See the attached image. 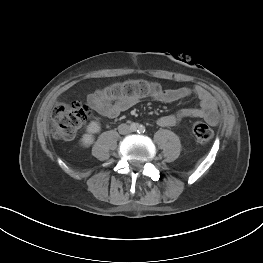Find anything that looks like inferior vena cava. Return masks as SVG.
<instances>
[{
    "label": "inferior vena cava",
    "instance_id": "1",
    "mask_svg": "<svg viewBox=\"0 0 263 263\" xmlns=\"http://www.w3.org/2000/svg\"><path fill=\"white\" fill-rule=\"evenodd\" d=\"M118 131L120 134H128L131 132V128L127 124H121L118 126Z\"/></svg>",
    "mask_w": 263,
    "mask_h": 263
}]
</instances>
